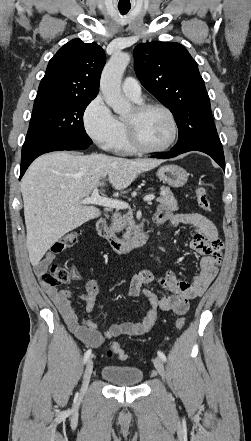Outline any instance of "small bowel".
<instances>
[{
  "label": "small bowel",
  "mask_w": 251,
  "mask_h": 441,
  "mask_svg": "<svg viewBox=\"0 0 251 441\" xmlns=\"http://www.w3.org/2000/svg\"><path fill=\"white\" fill-rule=\"evenodd\" d=\"M157 224L169 222L172 226L187 225L194 231L190 246L202 254L200 271L191 282L182 280L168 270L158 275L151 270H143L133 276L128 285V294L138 297L143 285L158 283L164 294L159 298L150 289L143 291L149 301V308L139 322H122L112 325L108 330L101 332L93 316L96 297L99 292L98 283L89 280L85 291L79 297L85 303V315L79 317L72 305V292L57 289L54 285H42L43 291L51 298L62 315L68 328L87 346L98 348L107 339L117 336H141L148 333L158 320L159 311H172L177 315H184L189 309L190 300L196 299L206 291L217 275L221 258V241L215 225L205 216L197 213L173 214L166 207H160L154 215ZM53 256L48 255L35 265L37 273L47 270ZM76 278L79 272L76 267L71 268Z\"/></svg>",
  "instance_id": "1"
}]
</instances>
